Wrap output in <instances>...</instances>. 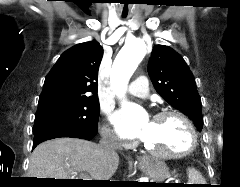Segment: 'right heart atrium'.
Masks as SVG:
<instances>
[{"label": "right heart atrium", "mask_w": 240, "mask_h": 187, "mask_svg": "<svg viewBox=\"0 0 240 187\" xmlns=\"http://www.w3.org/2000/svg\"><path fill=\"white\" fill-rule=\"evenodd\" d=\"M101 136L103 141L106 144L119 147L124 146L123 140L121 137L116 133V131L110 127L108 124H105L101 128Z\"/></svg>", "instance_id": "d8ad5b80"}]
</instances>
